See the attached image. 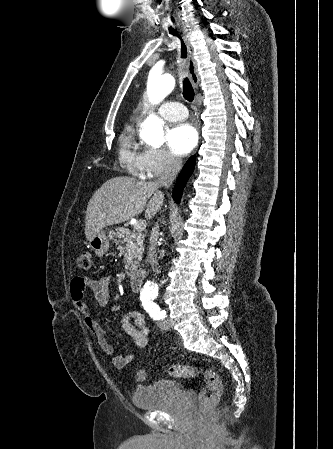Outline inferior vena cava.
Segmentation results:
<instances>
[{
    "mask_svg": "<svg viewBox=\"0 0 333 449\" xmlns=\"http://www.w3.org/2000/svg\"><path fill=\"white\" fill-rule=\"evenodd\" d=\"M181 167H182V160L172 156L169 160L167 168L165 169V172L159 178L157 184L166 187L170 186L173 183L174 179L176 178ZM158 238H159V226L158 224H156L153 229L152 236L150 238L148 258L153 271L156 270L157 272H158L157 270L158 259H157L156 246Z\"/></svg>",
    "mask_w": 333,
    "mask_h": 449,
    "instance_id": "inferior-vena-cava-1",
    "label": "inferior vena cava"
}]
</instances>
